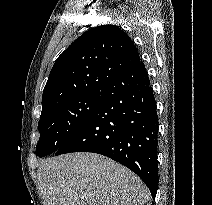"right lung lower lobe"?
<instances>
[{"instance_id": "98d812e1", "label": "right lung lower lobe", "mask_w": 212, "mask_h": 205, "mask_svg": "<svg viewBox=\"0 0 212 205\" xmlns=\"http://www.w3.org/2000/svg\"><path fill=\"white\" fill-rule=\"evenodd\" d=\"M156 101L142 61L101 90V101L78 130L55 152H92L136 173L155 198L158 189Z\"/></svg>"}]
</instances>
